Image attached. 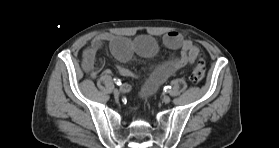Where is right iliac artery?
Segmentation results:
<instances>
[{
    "instance_id": "82829eb1",
    "label": "right iliac artery",
    "mask_w": 279,
    "mask_h": 148,
    "mask_svg": "<svg viewBox=\"0 0 279 148\" xmlns=\"http://www.w3.org/2000/svg\"><path fill=\"white\" fill-rule=\"evenodd\" d=\"M114 82H115L117 85H121V80H120V79L114 78Z\"/></svg>"
}]
</instances>
